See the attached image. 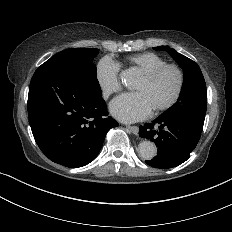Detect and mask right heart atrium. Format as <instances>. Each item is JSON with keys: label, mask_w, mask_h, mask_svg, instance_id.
Returning a JSON list of instances; mask_svg holds the SVG:
<instances>
[{"label": "right heart atrium", "mask_w": 232, "mask_h": 232, "mask_svg": "<svg viewBox=\"0 0 232 232\" xmlns=\"http://www.w3.org/2000/svg\"><path fill=\"white\" fill-rule=\"evenodd\" d=\"M119 65L110 56L102 57L95 68L97 83L106 96L116 93L120 90L118 80Z\"/></svg>", "instance_id": "obj_1"}]
</instances>
